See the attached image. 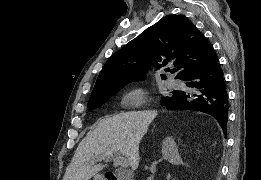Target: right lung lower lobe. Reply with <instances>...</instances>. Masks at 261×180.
Returning <instances> with one entry per match:
<instances>
[{
  "label": "right lung lower lobe",
  "mask_w": 261,
  "mask_h": 180,
  "mask_svg": "<svg viewBox=\"0 0 261 180\" xmlns=\"http://www.w3.org/2000/svg\"><path fill=\"white\" fill-rule=\"evenodd\" d=\"M192 92H176L161 101L168 110H198L212 115L220 124L225 136L228 121V94L222 69L217 62L200 67L184 79Z\"/></svg>",
  "instance_id": "right-lung-lower-lobe-1"
}]
</instances>
